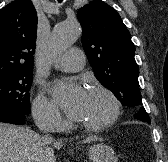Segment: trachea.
Masks as SVG:
<instances>
[{
  "mask_svg": "<svg viewBox=\"0 0 168 162\" xmlns=\"http://www.w3.org/2000/svg\"><path fill=\"white\" fill-rule=\"evenodd\" d=\"M63 0H58V2H62Z\"/></svg>",
  "mask_w": 168,
  "mask_h": 162,
  "instance_id": "obj_1",
  "label": "trachea"
}]
</instances>
